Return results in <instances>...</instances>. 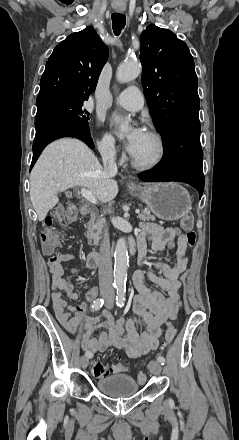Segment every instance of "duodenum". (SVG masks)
Listing matches in <instances>:
<instances>
[{
  "instance_id": "duodenum-1",
  "label": "duodenum",
  "mask_w": 239,
  "mask_h": 440,
  "mask_svg": "<svg viewBox=\"0 0 239 440\" xmlns=\"http://www.w3.org/2000/svg\"><path fill=\"white\" fill-rule=\"evenodd\" d=\"M80 212L82 215H88L90 213V206L86 203H82L80 206ZM130 253L133 255L135 253L134 245L130 244ZM101 262V255L100 253L93 251L90 252L87 256V266L91 269L97 268L100 265Z\"/></svg>"
}]
</instances>
